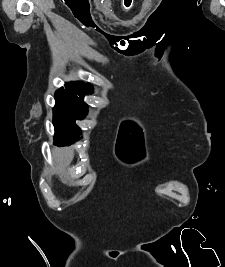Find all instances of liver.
Returning <instances> with one entry per match:
<instances>
[{"mask_svg": "<svg viewBox=\"0 0 225 267\" xmlns=\"http://www.w3.org/2000/svg\"><path fill=\"white\" fill-rule=\"evenodd\" d=\"M55 161L62 165L68 166L74 156L73 149L71 147L58 148L53 150Z\"/></svg>", "mask_w": 225, "mask_h": 267, "instance_id": "obj_1", "label": "liver"}]
</instances>
